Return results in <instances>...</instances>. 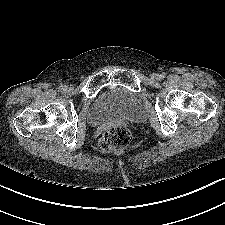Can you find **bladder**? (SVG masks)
I'll list each match as a JSON object with an SVG mask.
<instances>
[{
	"instance_id": "1",
	"label": "bladder",
	"mask_w": 225,
	"mask_h": 225,
	"mask_svg": "<svg viewBox=\"0 0 225 225\" xmlns=\"http://www.w3.org/2000/svg\"><path fill=\"white\" fill-rule=\"evenodd\" d=\"M144 117L145 110L139 99L121 87L101 95L88 112V122L93 126L115 120L141 122Z\"/></svg>"
}]
</instances>
